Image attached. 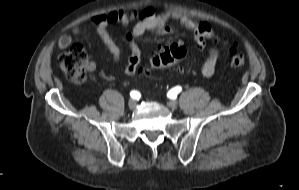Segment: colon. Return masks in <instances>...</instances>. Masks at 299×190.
Returning <instances> with one entry per match:
<instances>
[{
    "label": "colon",
    "instance_id": "colon-1",
    "mask_svg": "<svg viewBox=\"0 0 299 190\" xmlns=\"http://www.w3.org/2000/svg\"><path fill=\"white\" fill-rule=\"evenodd\" d=\"M186 55V47L180 42H173L162 48L141 72L148 74L152 70H164L178 67ZM229 64L233 68H239L245 63V56L234 46L229 47ZM59 65L67 78L73 83H82L86 78L87 57L84 48L79 44H73L69 50L59 58Z\"/></svg>",
    "mask_w": 299,
    "mask_h": 190
}]
</instances>
